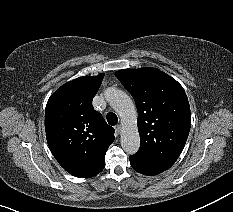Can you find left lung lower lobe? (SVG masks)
<instances>
[{
    "instance_id": "left-lung-lower-lobe-1",
    "label": "left lung lower lobe",
    "mask_w": 233,
    "mask_h": 212,
    "mask_svg": "<svg viewBox=\"0 0 233 212\" xmlns=\"http://www.w3.org/2000/svg\"><path fill=\"white\" fill-rule=\"evenodd\" d=\"M130 164L135 171L150 176L160 174L171 167V165L157 162L138 153L130 156Z\"/></svg>"
}]
</instances>
